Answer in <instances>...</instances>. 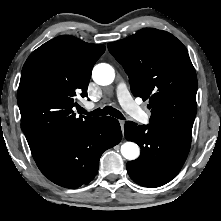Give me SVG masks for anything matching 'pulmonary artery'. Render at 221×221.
Returning a JSON list of instances; mask_svg holds the SVG:
<instances>
[{"label": "pulmonary artery", "instance_id": "obj_1", "mask_svg": "<svg viewBox=\"0 0 221 221\" xmlns=\"http://www.w3.org/2000/svg\"><path fill=\"white\" fill-rule=\"evenodd\" d=\"M116 93L121 106L136 120L142 123H147L149 116L148 114L138 106L132 99L130 92L124 82H120L117 85ZM93 104H89L92 107Z\"/></svg>", "mask_w": 221, "mask_h": 221}]
</instances>
